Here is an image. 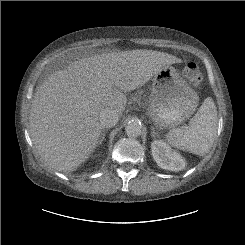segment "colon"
<instances>
[{"label": "colon", "instance_id": "1", "mask_svg": "<svg viewBox=\"0 0 245 245\" xmlns=\"http://www.w3.org/2000/svg\"><path fill=\"white\" fill-rule=\"evenodd\" d=\"M182 74L188 83L194 88L198 87L202 82V74L199 66L193 61H187L185 63Z\"/></svg>", "mask_w": 245, "mask_h": 245}]
</instances>
